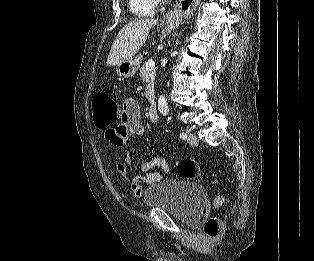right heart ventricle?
Listing matches in <instances>:
<instances>
[{
	"mask_svg": "<svg viewBox=\"0 0 314 261\" xmlns=\"http://www.w3.org/2000/svg\"><path fill=\"white\" fill-rule=\"evenodd\" d=\"M128 6L134 16L143 18L152 16L157 4L154 0H128Z\"/></svg>",
	"mask_w": 314,
	"mask_h": 261,
	"instance_id": "e07e8e85",
	"label": "right heart ventricle"
}]
</instances>
